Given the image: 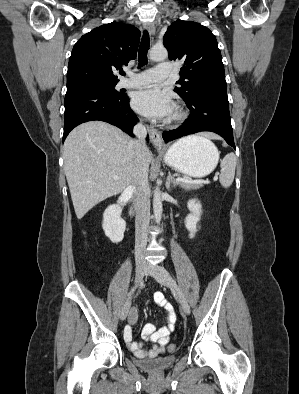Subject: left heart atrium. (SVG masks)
Listing matches in <instances>:
<instances>
[{
	"label": "left heart atrium",
	"instance_id": "39dd6f15",
	"mask_svg": "<svg viewBox=\"0 0 299 394\" xmlns=\"http://www.w3.org/2000/svg\"><path fill=\"white\" fill-rule=\"evenodd\" d=\"M132 106L141 115L152 119L167 118L174 111L170 95L156 86L135 93Z\"/></svg>",
	"mask_w": 299,
	"mask_h": 394
}]
</instances>
